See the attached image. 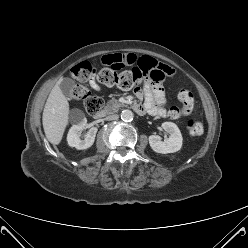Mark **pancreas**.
Here are the masks:
<instances>
[{"label":"pancreas","instance_id":"1","mask_svg":"<svg viewBox=\"0 0 248 248\" xmlns=\"http://www.w3.org/2000/svg\"><path fill=\"white\" fill-rule=\"evenodd\" d=\"M122 106L123 104L120 103L118 100H111L106 104L105 110L106 112H117Z\"/></svg>","mask_w":248,"mask_h":248}]
</instances>
